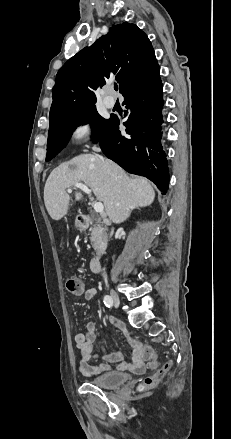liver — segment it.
<instances>
[{
  "mask_svg": "<svg viewBox=\"0 0 231 439\" xmlns=\"http://www.w3.org/2000/svg\"><path fill=\"white\" fill-rule=\"evenodd\" d=\"M75 183L88 186L97 200L103 202L106 215L116 224L126 220L131 210L150 205L155 198L151 183L130 178L116 163L93 154H81L61 163L49 175L44 187V203L53 220H60L69 210L67 189ZM81 192L75 199L81 200Z\"/></svg>",
  "mask_w": 231,
  "mask_h": 439,
  "instance_id": "6515ba94",
  "label": "liver"
}]
</instances>
